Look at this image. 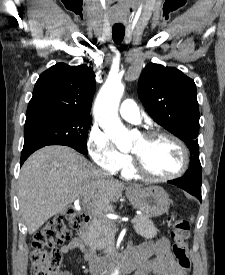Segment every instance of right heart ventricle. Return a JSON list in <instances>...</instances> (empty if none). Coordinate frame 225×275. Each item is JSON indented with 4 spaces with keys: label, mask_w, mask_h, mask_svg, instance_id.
<instances>
[{
    "label": "right heart ventricle",
    "mask_w": 225,
    "mask_h": 275,
    "mask_svg": "<svg viewBox=\"0 0 225 275\" xmlns=\"http://www.w3.org/2000/svg\"><path fill=\"white\" fill-rule=\"evenodd\" d=\"M121 174L125 178H136L137 177V175L134 172L130 162L125 168L121 169Z\"/></svg>",
    "instance_id": "right-heart-ventricle-1"
}]
</instances>
